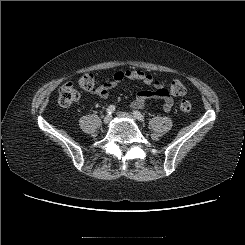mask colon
<instances>
[{"mask_svg": "<svg viewBox=\"0 0 245 245\" xmlns=\"http://www.w3.org/2000/svg\"><path fill=\"white\" fill-rule=\"evenodd\" d=\"M75 85L84 91L94 92L98 90V84L95 76L92 73L82 74L75 83L68 82L63 84L58 90V103L62 107H67L75 103L79 98V93ZM168 92L170 95L178 97L186 93V87L178 80H174L169 84ZM192 105L189 101L184 100L180 103V110L184 113H189Z\"/></svg>", "mask_w": 245, "mask_h": 245, "instance_id": "obj_1", "label": "colon"}]
</instances>
